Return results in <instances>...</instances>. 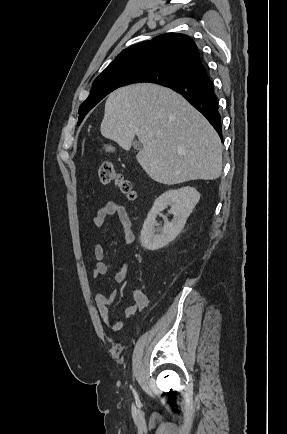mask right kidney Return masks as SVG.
Segmentation results:
<instances>
[{"instance_id":"1","label":"right kidney","mask_w":287,"mask_h":434,"mask_svg":"<svg viewBox=\"0 0 287 434\" xmlns=\"http://www.w3.org/2000/svg\"><path fill=\"white\" fill-rule=\"evenodd\" d=\"M199 199L200 193L190 186L169 190L159 196L143 224L140 234L141 245L147 250L154 251L173 241L182 231ZM167 206H171L173 219L171 221L165 219L160 234H156L155 219Z\"/></svg>"}]
</instances>
